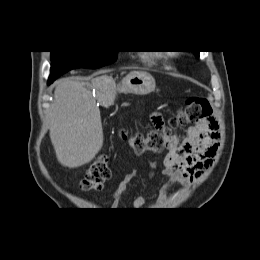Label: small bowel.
Here are the masks:
<instances>
[{"mask_svg": "<svg viewBox=\"0 0 260 260\" xmlns=\"http://www.w3.org/2000/svg\"><path fill=\"white\" fill-rule=\"evenodd\" d=\"M151 123L154 128L165 127L163 117L158 111L151 114ZM218 128L217 122L210 118L189 127L182 139L172 136L163 161L148 162L150 171L146 180L153 179L156 174L165 176L167 181L162 187V194L173 184L186 185L197 180L212 165L217 154L220 137ZM136 175L137 170H132L115 189L111 202L113 208L118 206L121 196L128 190ZM145 203L141 195L133 200V206L137 209L144 207Z\"/></svg>", "mask_w": 260, "mask_h": 260, "instance_id": "obj_1", "label": "small bowel"}]
</instances>
